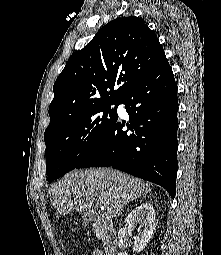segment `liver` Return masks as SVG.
<instances>
[{
    "label": "liver",
    "mask_w": 221,
    "mask_h": 255,
    "mask_svg": "<svg viewBox=\"0 0 221 255\" xmlns=\"http://www.w3.org/2000/svg\"><path fill=\"white\" fill-rule=\"evenodd\" d=\"M151 191L148 183L123 172L106 169L74 170L55 183L48 193L61 215L87 211L98 200L107 215L118 216L124 206Z\"/></svg>",
    "instance_id": "obj_1"
}]
</instances>
